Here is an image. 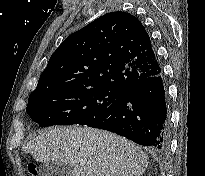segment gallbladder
<instances>
[{
	"instance_id": "obj_1",
	"label": "gallbladder",
	"mask_w": 205,
	"mask_h": 176,
	"mask_svg": "<svg viewBox=\"0 0 205 176\" xmlns=\"http://www.w3.org/2000/svg\"><path fill=\"white\" fill-rule=\"evenodd\" d=\"M38 172L39 176H72V169L68 164L57 162L43 163Z\"/></svg>"
}]
</instances>
